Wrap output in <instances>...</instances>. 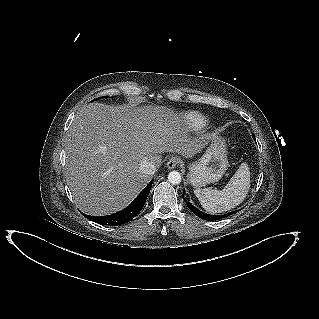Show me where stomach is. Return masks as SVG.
I'll list each match as a JSON object with an SVG mask.
<instances>
[{"mask_svg":"<svg viewBox=\"0 0 319 319\" xmlns=\"http://www.w3.org/2000/svg\"><path fill=\"white\" fill-rule=\"evenodd\" d=\"M228 167L225 141L217 134L210 137V146L203 156L189 166L187 179L194 187L218 181Z\"/></svg>","mask_w":319,"mask_h":319,"instance_id":"stomach-1","label":"stomach"}]
</instances>
